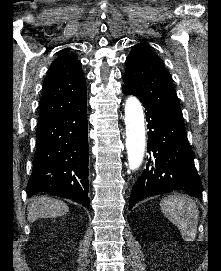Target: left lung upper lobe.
<instances>
[{
    "instance_id": "5c2ea615",
    "label": "left lung upper lobe",
    "mask_w": 221,
    "mask_h": 271,
    "mask_svg": "<svg viewBox=\"0 0 221 271\" xmlns=\"http://www.w3.org/2000/svg\"><path fill=\"white\" fill-rule=\"evenodd\" d=\"M124 87L164 115L184 123L171 75L147 45L136 44L128 55Z\"/></svg>"
}]
</instances>
